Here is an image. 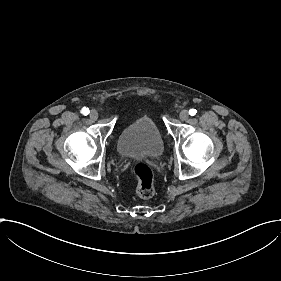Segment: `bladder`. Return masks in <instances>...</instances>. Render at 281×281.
<instances>
[{
    "mask_svg": "<svg viewBox=\"0 0 281 281\" xmlns=\"http://www.w3.org/2000/svg\"><path fill=\"white\" fill-rule=\"evenodd\" d=\"M117 148L125 157L155 159L162 155L164 143L155 122L143 116L122 129Z\"/></svg>",
    "mask_w": 281,
    "mask_h": 281,
    "instance_id": "1",
    "label": "bladder"
}]
</instances>
